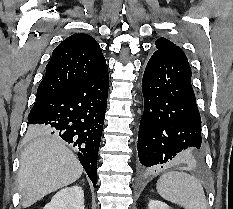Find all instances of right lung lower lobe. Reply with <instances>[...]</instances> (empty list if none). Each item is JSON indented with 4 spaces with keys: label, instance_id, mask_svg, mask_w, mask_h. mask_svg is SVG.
<instances>
[{
    "label": "right lung lower lobe",
    "instance_id": "1",
    "mask_svg": "<svg viewBox=\"0 0 233 209\" xmlns=\"http://www.w3.org/2000/svg\"><path fill=\"white\" fill-rule=\"evenodd\" d=\"M108 86L106 66L77 85L37 99L28 116L30 127L52 131L74 147L94 186Z\"/></svg>",
    "mask_w": 233,
    "mask_h": 209
}]
</instances>
